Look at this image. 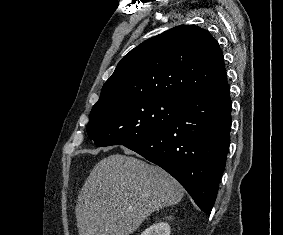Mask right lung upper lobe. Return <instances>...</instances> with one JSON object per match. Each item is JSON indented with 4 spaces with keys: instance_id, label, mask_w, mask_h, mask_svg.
Listing matches in <instances>:
<instances>
[{
    "instance_id": "cb5924a9",
    "label": "right lung upper lobe",
    "mask_w": 283,
    "mask_h": 235,
    "mask_svg": "<svg viewBox=\"0 0 283 235\" xmlns=\"http://www.w3.org/2000/svg\"><path fill=\"white\" fill-rule=\"evenodd\" d=\"M226 81L218 42L199 26L180 25L125 55L94 106L139 96L180 101Z\"/></svg>"
}]
</instances>
